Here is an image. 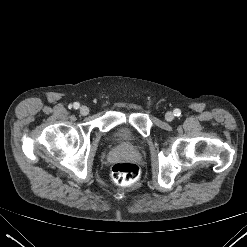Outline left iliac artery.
Segmentation results:
<instances>
[{
    "label": "left iliac artery",
    "instance_id": "44dca946",
    "mask_svg": "<svg viewBox=\"0 0 247 247\" xmlns=\"http://www.w3.org/2000/svg\"><path fill=\"white\" fill-rule=\"evenodd\" d=\"M174 115L179 117L181 115L180 109H175L174 110Z\"/></svg>",
    "mask_w": 247,
    "mask_h": 247
}]
</instances>
